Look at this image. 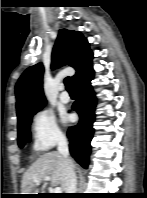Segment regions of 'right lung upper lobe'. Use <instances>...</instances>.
<instances>
[{"instance_id": "right-lung-upper-lobe-1", "label": "right lung upper lobe", "mask_w": 147, "mask_h": 198, "mask_svg": "<svg viewBox=\"0 0 147 198\" xmlns=\"http://www.w3.org/2000/svg\"><path fill=\"white\" fill-rule=\"evenodd\" d=\"M93 53L89 43L80 32L61 29L56 39L51 68L70 65L76 70L74 83L92 69ZM42 63L29 67L19 78L16 89L18 122L42 109L46 104L43 94Z\"/></svg>"}]
</instances>
